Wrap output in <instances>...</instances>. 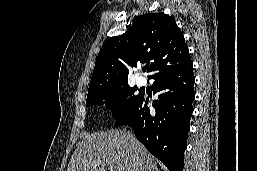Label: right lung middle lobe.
<instances>
[{"mask_svg": "<svg viewBox=\"0 0 257 171\" xmlns=\"http://www.w3.org/2000/svg\"><path fill=\"white\" fill-rule=\"evenodd\" d=\"M135 88H131L128 83L89 91L86 105H103L112 107L115 110L116 119L126 115L136 104L142 94H134Z\"/></svg>", "mask_w": 257, "mask_h": 171, "instance_id": "obj_1", "label": "right lung middle lobe"}]
</instances>
